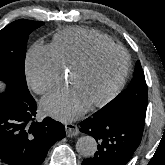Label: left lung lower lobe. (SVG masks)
<instances>
[{"label":"left lung lower lobe","instance_id":"left-lung-lower-lobe-1","mask_svg":"<svg viewBox=\"0 0 165 165\" xmlns=\"http://www.w3.org/2000/svg\"><path fill=\"white\" fill-rule=\"evenodd\" d=\"M145 121L92 116L80 123V131L98 142V150L82 165H125L139 146Z\"/></svg>","mask_w":165,"mask_h":165}]
</instances>
